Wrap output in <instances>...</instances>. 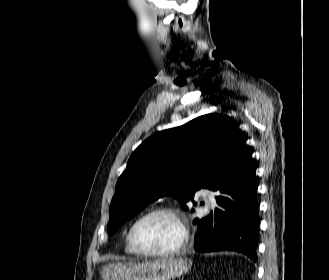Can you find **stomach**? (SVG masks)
<instances>
[{
	"label": "stomach",
	"mask_w": 329,
	"mask_h": 280,
	"mask_svg": "<svg viewBox=\"0 0 329 280\" xmlns=\"http://www.w3.org/2000/svg\"><path fill=\"white\" fill-rule=\"evenodd\" d=\"M189 259L169 258L148 262H114L101 269L103 280H171L185 274Z\"/></svg>",
	"instance_id": "obj_1"
}]
</instances>
